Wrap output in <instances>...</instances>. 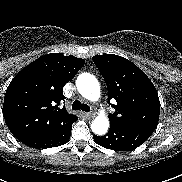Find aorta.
I'll return each instance as SVG.
<instances>
[{
    "label": "aorta",
    "mask_w": 182,
    "mask_h": 182,
    "mask_svg": "<svg viewBox=\"0 0 182 182\" xmlns=\"http://www.w3.org/2000/svg\"><path fill=\"white\" fill-rule=\"evenodd\" d=\"M76 86L79 93L89 101H98L100 98V85L96 77L89 73H83L78 76ZM109 128V120L101 114L91 123L92 131L97 135H104Z\"/></svg>",
    "instance_id": "aorta-1"
}]
</instances>
